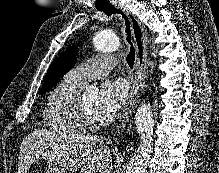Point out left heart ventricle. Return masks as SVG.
<instances>
[{
    "label": "left heart ventricle",
    "mask_w": 219,
    "mask_h": 173,
    "mask_svg": "<svg viewBox=\"0 0 219 173\" xmlns=\"http://www.w3.org/2000/svg\"><path fill=\"white\" fill-rule=\"evenodd\" d=\"M96 102L97 96L96 95H83L80 98V103L84 110L90 114L91 116L97 117L96 115Z\"/></svg>",
    "instance_id": "1"
}]
</instances>
